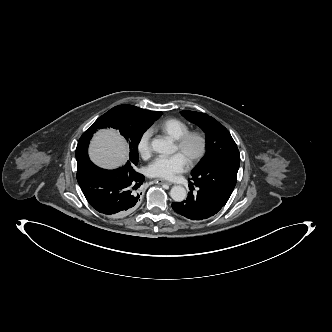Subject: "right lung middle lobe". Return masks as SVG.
<instances>
[{
  "label": "right lung middle lobe",
  "instance_id": "dd1d6c3e",
  "mask_svg": "<svg viewBox=\"0 0 332 332\" xmlns=\"http://www.w3.org/2000/svg\"><path fill=\"white\" fill-rule=\"evenodd\" d=\"M162 115V112L141 110L132 105H119L100 118L81 136L76 148L78 169H82L88 162L87 149L89 140L97 129L111 127L119 130L128 142L130 149L129 160L123 166L127 171H134L137 166L138 143L143 133Z\"/></svg>",
  "mask_w": 332,
  "mask_h": 332
}]
</instances>
